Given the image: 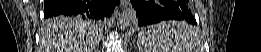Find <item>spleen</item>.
I'll use <instances>...</instances> for the list:
<instances>
[{
    "label": "spleen",
    "instance_id": "spleen-1",
    "mask_svg": "<svg viewBox=\"0 0 261 52\" xmlns=\"http://www.w3.org/2000/svg\"><path fill=\"white\" fill-rule=\"evenodd\" d=\"M138 46L141 52H199L201 44L191 26L185 22L169 21L140 33Z\"/></svg>",
    "mask_w": 261,
    "mask_h": 52
}]
</instances>
